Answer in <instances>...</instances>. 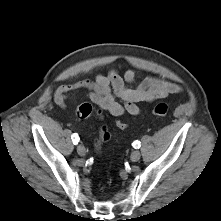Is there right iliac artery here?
I'll use <instances>...</instances> for the list:
<instances>
[{
	"label": "right iliac artery",
	"mask_w": 221,
	"mask_h": 221,
	"mask_svg": "<svg viewBox=\"0 0 221 221\" xmlns=\"http://www.w3.org/2000/svg\"><path fill=\"white\" fill-rule=\"evenodd\" d=\"M72 141H73V144H78V142H79V137H78V135L77 134H73L72 135Z\"/></svg>",
	"instance_id": "right-iliac-artery-1"
}]
</instances>
